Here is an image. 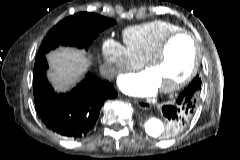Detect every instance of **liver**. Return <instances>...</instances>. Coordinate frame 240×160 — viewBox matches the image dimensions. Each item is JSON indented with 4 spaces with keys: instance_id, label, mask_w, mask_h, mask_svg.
<instances>
[{
    "instance_id": "liver-1",
    "label": "liver",
    "mask_w": 240,
    "mask_h": 160,
    "mask_svg": "<svg viewBox=\"0 0 240 160\" xmlns=\"http://www.w3.org/2000/svg\"><path fill=\"white\" fill-rule=\"evenodd\" d=\"M47 60L50 64L48 77L59 92H65L79 82L90 64L83 51L70 47L50 52Z\"/></svg>"
}]
</instances>
